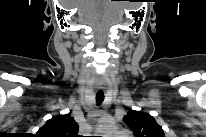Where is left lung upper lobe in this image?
Listing matches in <instances>:
<instances>
[{
  "label": "left lung upper lobe",
  "mask_w": 206,
  "mask_h": 137,
  "mask_svg": "<svg viewBox=\"0 0 206 137\" xmlns=\"http://www.w3.org/2000/svg\"><path fill=\"white\" fill-rule=\"evenodd\" d=\"M123 121L132 129L135 137H165L163 129L150 114L131 110Z\"/></svg>",
  "instance_id": "left-lung-upper-lobe-1"
}]
</instances>
